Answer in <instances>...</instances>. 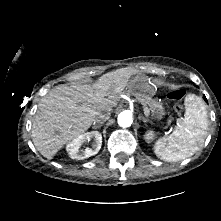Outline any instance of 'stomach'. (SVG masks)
<instances>
[{"label":"stomach","instance_id":"1","mask_svg":"<svg viewBox=\"0 0 221 221\" xmlns=\"http://www.w3.org/2000/svg\"><path fill=\"white\" fill-rule=\"evenodd\" d=\"M129 89L133 95L147 101H154L159 96L158 87L145 75L133 77L129 82Z\"/></svg>","mask_w":221,"mask_h":221}]
</instances>
